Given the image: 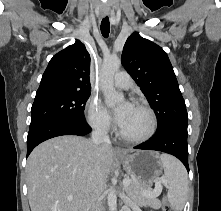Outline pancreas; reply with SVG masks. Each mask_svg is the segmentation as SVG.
Masks as SVG:
<instances>
[{"label":"pancreas","instance_id":"cf45deb5","mask_svg":"<svg viewBox=\"0 0 221 211\" xmlns=\"http://www.w3.org/2000/svg\"><path fill=\"white\" fill-rule=\"evenodd\" d=\"M146 190H148V188H145L140 182L133 179H130V184L125 187L126 194L132 203L138 205H149L156 208L160 207L161 204L156 197L150 198L143 194V191Z\"/></svg>","mask_w":221,"mask_h":211}]
</instances>
